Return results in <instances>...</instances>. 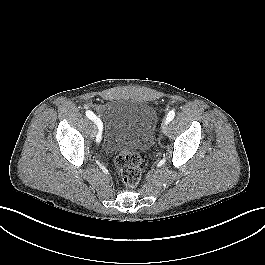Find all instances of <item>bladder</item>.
<instances>
[{"label": "bladder", "instance_id": "31cf9c89", "mask_svg": "<svg viewBox=\"0 0 265 265\" xmlns=\"http://www.w3.org/2000/svg\"><path fill=\"white\" fill-rule=\"evenodd\" d=\"M158 122L156 109L147 102L114 99L106 103L102 148L110 154L147 151Z\"/></svg>", "mask_w": 265, "mask_h": 265}]
</instances>
